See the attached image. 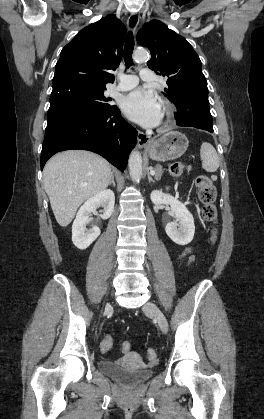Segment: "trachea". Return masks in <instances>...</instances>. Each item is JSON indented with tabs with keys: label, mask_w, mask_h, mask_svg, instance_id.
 I'll list each match as a JSON object with an SVG mask.
<instances>
[{
	"label": "trachea",
	"mask_w": 264,
	"mask_h": 419,
	"mask_svg": "<svg viewBox=\"0 0 264 419\" xmlns=\"http://www.w3.org/2000/svg\"><path fill=\"white\" fill-rule=\"evenodd\" d=\"M134 49V38L132 32H129L126 38L124 51H123V57L125 64L127 67H130L133 64L132 60V53Z\"/></svg>",
	"instance_id": "3493384b"
}]
</instances>
